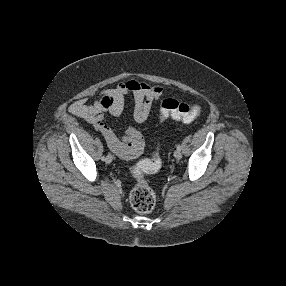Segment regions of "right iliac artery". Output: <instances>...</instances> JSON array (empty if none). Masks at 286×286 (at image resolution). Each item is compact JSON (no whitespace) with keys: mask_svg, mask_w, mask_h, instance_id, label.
I'll return each instance as SVG.
<instances>
[{"mask_svg":"<svg viewBox=\"0 0 286 286\" xmlns=\"http://www.w3.org/2000/svg\"><path fill=\"white\" fill-rule=\"evenodd\" d=\"M105 160H106V157H105V156H103V157H102V161H105Z\"/></svg>","mask_w":286,"mask_h":286,"instance_id":"obj_1","label":"right iliac artery"}]
</instances>
